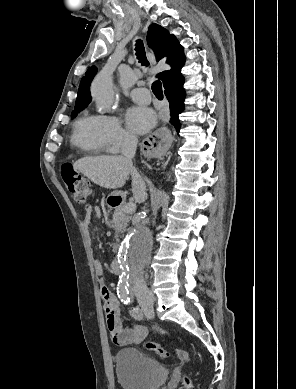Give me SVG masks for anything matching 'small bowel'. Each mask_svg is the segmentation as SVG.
Masks as SVG:
<instances>
[{
  "label": "small bowel",
  "instance_id": "1",
  "mask_svg": "<svg viewBox=\"0 0 296 389\" xmlns=\"http://www.w3.org/2000/svg\"><path fill=\"white\" fill-rule=\"evenodd\" d=\"M101 217L99 207L87 205L82 224L88 231L92 221ZM101 271V268H99ZM101 296L105 304L107 328L114 344L118 346L136 345L141 343L148 335L145 326L135 325L127 328L122 325L120 319L119 302L115 294L106 286L101 288Z\"/></svg>",
  "mask_w": 296,
  "mask_h": 389
}]
</instances>
